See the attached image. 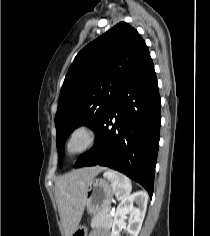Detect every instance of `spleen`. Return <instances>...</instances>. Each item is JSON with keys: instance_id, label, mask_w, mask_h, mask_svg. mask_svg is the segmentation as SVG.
I'll return each instance as SVG.
<instances>
[{"instance_id": "obj_1", "label": "spleen", "mask_w": 210, "mask_h": 236, "mask_svg": "<svg viewBox=\"0 0 210 236\" xmlns=\"http://www.w3.org/2000/svg\"><path fill=\"white\" fill-rule=\"evenodd\" d=\"M104 177L111 181L112 188L119 200H123L129 196L132 190V184L128 177L113 170L106 171Z\"/></svg>"}]
</instances>
